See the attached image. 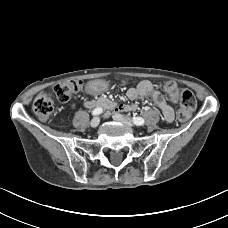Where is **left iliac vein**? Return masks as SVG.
Returning a JSON list of instances; mask_svg holds the SVG:
<instances>
[{"instance_id": "obj_1", "label": "left iliac vein", "mask_w": 228, "mask_h": 228, "mask_svg": "<svg viewBox=\"0 0 228 228\" xmlns=\"http://www.w3.org/2000/svg\"><path fill=\"white\" fill-rule=\"evenodd\" d=\"M113 119L115 121L122 122V123H124V124H126L128 126H133L134 125L132 121L126 119L125 117H123L122 115H119V114H114L113 115Z\"/></svg>"}]
</instances>
